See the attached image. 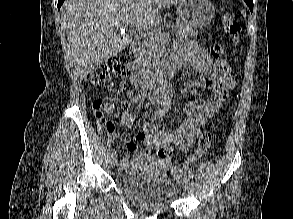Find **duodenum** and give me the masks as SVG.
<instances>
[{"label":"duodenum","instance_id":"410a0bca","mask_svg":"<svg viewBox=\"0 0 293 219\" xmlns=\"http://www.w3.org/2000/svg\"><path fill=\"white\" fill-rule=\"evenodd\" d=\"M144 39L142 35H139L132 46V52L134 56L133 61V72L130 77V82L133 87L137 89H143L147 86L146 79V68L142 60V50H143ZM178 62L175 60L169 61L165 65V71L168 76H173L178 70Z\"/></svg>","mask_w":293,"mask_h":219}]
</instances>
